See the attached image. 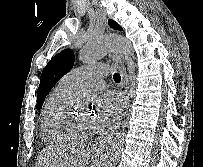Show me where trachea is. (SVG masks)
Returning a JSON list of instances; mask_svg holds the SVG:
<instances>
[{
  "label": "trachea",
  "mask_w": 203,
  "mask_h": 167,
  "mask_svg": "<svg viewBox=\"0 0 203 167\" xmlns=\"http://www.w3.org/2000/svg\"><path fill=\"white\" fill-rule=\"evenodd\" d=\"M113 79H114V81L115 82H120L121 81V76H120V74L119 73H115L114 75H113Z\"/></svg>",
  "instance_id": "3493384b"
}]
</instances>
